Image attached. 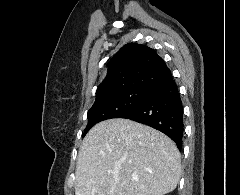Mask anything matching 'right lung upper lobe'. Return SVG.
I'll return each instance as SVG.
<instances>
[{
    "instance_id": "cb5924a9",
    "label": "right lung upper lobe",
    "mask_w": 240,
    "mask_h": 195,
    "mask_svg": "<svg viewBox=\"0 0 240 195\" xmlns=\"http://www.w3.org/2000/svg\"><path fill=\"white\" fill-rule=\"evenodd\" d=\"M108 72L96 91V98L121 91L148 92L172 77L170 69L155 50L128 43L108 62Z\"/></svg>"
}]
</instances>
